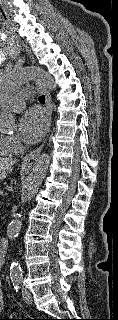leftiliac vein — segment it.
<instances>
[{"label":"left iliac vein","mask_w":118,"mask_h":320,"mask_svg":"<svg viewBox=\"0 0 118 320\" xmlns=\"http://www.w3.org/2000/svg\"><path fill=\"white\" fill-rule=\"evenodd\" d=\"M22 298L27 304L32 303V295L31 293L24 287H22Z\"/></svg>","instance_id":"1"}]
</instances>
